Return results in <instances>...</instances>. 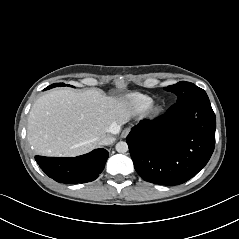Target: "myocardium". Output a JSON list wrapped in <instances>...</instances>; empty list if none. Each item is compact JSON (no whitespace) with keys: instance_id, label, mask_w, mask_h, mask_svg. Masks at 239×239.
Masks as SVG:
<instances>
[{"instance_id":"1","label":"myocardium","mask_w":239,"mask_h":239,"mask_svg":"<svg viewBox=\"0 0 239 239\" xmlns=\"http://www.w3.org/2000/svg\"><path fill=\"white\" fill-rule=\"evenodd\" d=\"M159 109H160L159 106H154V107H153V111H158Z\"/></svg>"}]
</instances>
